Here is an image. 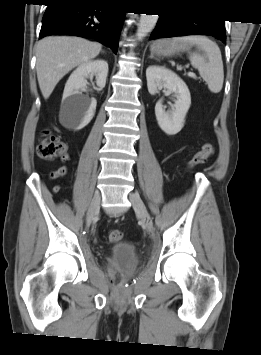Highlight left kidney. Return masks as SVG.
I'll return each mask as SVG.
<instances>
[{"mask_svg": "<svg viewBox=\"0 0 261 355\" xmlns=\"http://www.w3.org/2000/svg\"><path fill=\"white\" fill-rule=\"evenodd\" d=\"M147 87L150 94L154 95L164 88L173 93L174 109L165 111L162 102L155 105V115L159 127L168 135H175L184 126L186 114L191 105V96L185 82L173 71L160 66H149L146 69Z\"/></svg>", "mask_w": 261, "mask_h": 355, "instance_id": "5707ae66", "label": "left kidney"}]
</instances>
